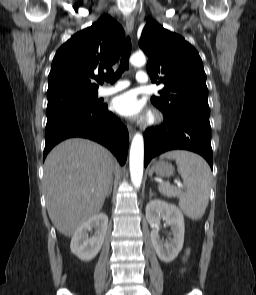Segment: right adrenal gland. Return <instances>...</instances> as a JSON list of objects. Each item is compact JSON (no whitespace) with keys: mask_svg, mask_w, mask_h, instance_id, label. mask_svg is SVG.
I'll use <instances>...</instances> for the list:
<instances>
[{"mask_svg":"<svg viewBox=\"0 0 256 295\" xmlns=\"http://www.w3.org/2000/svg\"><path fill=\"white\" fill-rule=\"evenodd\" d=\"M112 187H113V180H112V182H111V184H110V187H109V190H108V193H107V197L109 196V195H111V193H112Z\"/></svg>","mask_w":256,"mask_h":295,"instance_id":"right-adrenal-gland-1","label":"right adrenal gland"}]
</instances>
